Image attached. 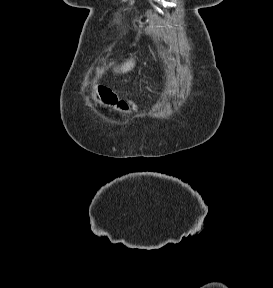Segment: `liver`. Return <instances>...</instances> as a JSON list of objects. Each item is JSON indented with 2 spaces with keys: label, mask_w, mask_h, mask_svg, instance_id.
<instances>
[{
  "label": "liver",
  "mask_w": 273,
  "mask_h": 288,
  "mask_svg": "<svg viewBox=\"0 0 273 288\" xmlns=\"http://www.w3.org/2000/svg\"><path fill=\"white\" fill-rule=\"evenodd\" d=\"M135 63L133 59L128 60L122 67L120 68V71L125 73L130 71L134 67Z\"/></svg>",
  "instance_id": "liver-1"
}]
</instances>
